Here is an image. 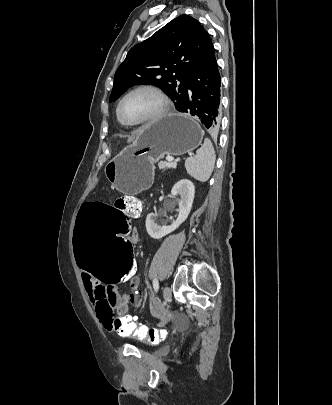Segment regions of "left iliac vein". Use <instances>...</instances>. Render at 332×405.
<instances>
[{"label":"left iliac vein","mask_w":332,"mask_h":405,"mask_svg":"<svg viewBox=\"0 0 332 405\" xmlns=\"http://www.w3.org/2000/svg\"><path fill=\"white\" fill-rule=\"evenodd\" d=\"M170 299H171V289L168 286H166L163 289V300L165 302H168Z\"/></svg>","instance_id":"left-iliac-vein-1"}]
</instances>
